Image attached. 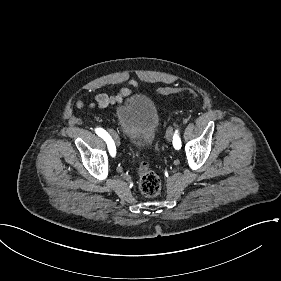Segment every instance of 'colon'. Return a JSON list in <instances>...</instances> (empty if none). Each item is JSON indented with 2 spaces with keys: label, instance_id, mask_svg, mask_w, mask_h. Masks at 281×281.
I'll list each match as a JSON object with an SVG mask.
<instances>
[{
  "label": "colon",
  "instance_id": "1",
  "mask_svg": "<svg viewBox=\"0 0 281 281\" xmlns=\"http://www.w3.org/2000/svg\"><path fill=\"white\" fill-rule=\"evenodd\" d=\"M176 89V88H175ZM172 89L162 88L159 93L167 95L171 93ZM186 90V89H182ZM192 92V91H190ZM162 182L159 175L152 169L144 160L139 167V188L146 197H155L161 191Z\"/></svg>",
  "mask_w": 281,
  "mask_h": 281
}]
</instances>
